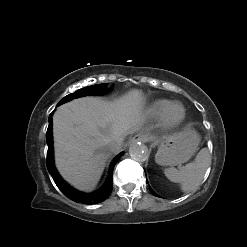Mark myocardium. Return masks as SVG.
Returning a JSON list of instances; mask_svg holds the SVG:
<instances>
[{
  "instance_id": "myocardium-1",
  "label": "myocardium",
  "mask_w": 247,
  "mask_h": 247,
  "mask_svg": "<svg viewBox=\"0 0 247 247\" xmlns=\"http://www.w3.org/2000/svg\"><path fill=\"white\" fill-rule=\"evenodd\" d=\"M178 109L179 113L174 112ZM185 108L180 103H172L161 115V122L167 128H174L179 126L185 119Z\"/></svg>"
}]
</instances>
